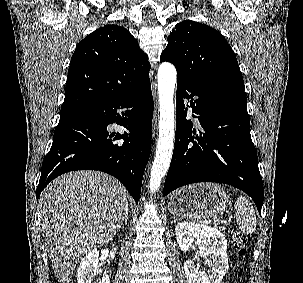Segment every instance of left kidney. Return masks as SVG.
<instances>
[{
	"label": "left kidney",
	"instance_id": "obj_1",
	"mask_svg": "<svg viewBox=\"0 0 303 283\" xmlns=\"http://www.w3.org/2000/svg\"><path fill=\"white\" fill-rule=\"evenodd\" d=\"M176 239L182 251H188L196 240L199 250L208 255V272L199 271L194 262L184 263L188 283H220L229 269L227 241L217 229L188 222L178 223L175 228Z\"/></svg>",
	"mask_w": 303,
	"mask_h": 283
}]
</instances>
